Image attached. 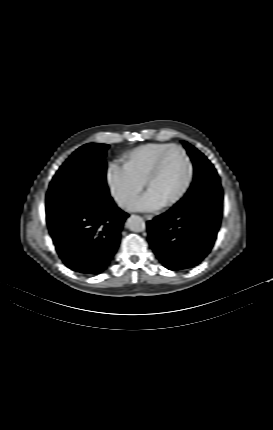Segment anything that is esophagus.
Returning a JSON list of instances; mask_svg holds the SVG:
<instances>
[{"instance_id":"obj_1","label":"esophagus","mask_w":273,"mask_h":430,"mask_svg":"<svg viewBox=\"0 0 273 430\" xmlns=\"http://www.w3.org/2000/svg\"><path fill=\"white\" fill-rule=\"evenodd\" d=\"M144 218L146 219V220H152L153 219V215H151V214H146V215H144Z\"/></svg>"}]
</instances>
